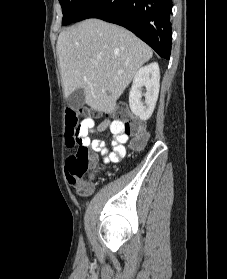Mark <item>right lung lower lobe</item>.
Returning a JSON list of instances; mask_svg holds the SVG:
<instances>
[{
  "mask_svg": "<svg viewBox=\"0 0 227 279\" xmlns=\"http://www.w3.org/2000/svg\"><path fill=\"white\" fill-rule=\"evenodd\" d=\"M172 0H88L73 22L98 18L121 25L169 59Z\"/></svg>",
  "mask_w": 227,
  "mask_h": 279,
  "instance_id": "right-lung-lower-lobe-1",
  "label": "right lung lower lobe"
}]
</instances>
